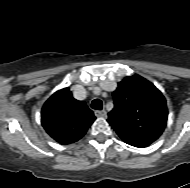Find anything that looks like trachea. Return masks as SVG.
<instances>
[{
  "label": "trachea",
  "mask_w": 190,
  "mask_h": 188,
  "mask_svg": "<svg viewBox=\"0 0 190 188\" xmlns=\"http://www.w3.org/2000/svg\"><path fill=\"white\" fill-rule=\"evenodd\" d=\"M103 104L100 99H94L91 103V108L95 110H102Z\"/></svg>",
  "instance_id": "obj_1"
}]
</instances>
